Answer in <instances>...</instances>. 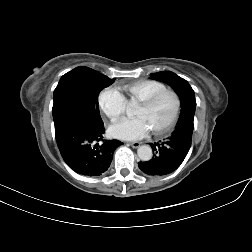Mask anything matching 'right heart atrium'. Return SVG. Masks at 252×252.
I'll list each match as a JSON object with an SVG mask.
<instances>
[{"label":"right heart atrium","mask_w":252,"mask_h":252,"mask_svg":"<svg viewBox=\"0 0 252 252\" xmlns=\"http://www.w3.org/2000/svg\"><path fill=\"white\" fill-rule=\"evenodd\" d=\"M98 102L103 113L111 120H117L124 112L125 98L115 88H105L98 97Z\"/></svg>","instance_id":"obj_1"}]
</instances>
